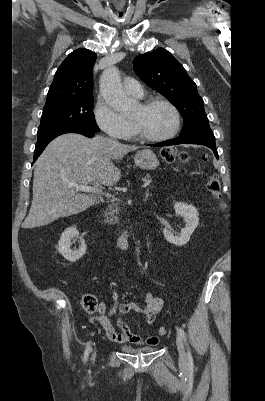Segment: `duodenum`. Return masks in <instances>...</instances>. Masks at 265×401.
Listing matches in <instances>:
<instances>
[{"instance_id": "obj_1", "label": "duodenum", "mask_w": 265, "mask_h": 401, "mask_svg": "<svg viewBox=\"0 0 265 401\" xmlns=\"http://www.w3.org/2000/svg\"><path fill=\"white\" fill-rule=\"evenodd\" d=\"M116 245L120 249H127L129 246V234L125 233L122 236H120L116 241Z\"/></svg>"}]
</instances>
